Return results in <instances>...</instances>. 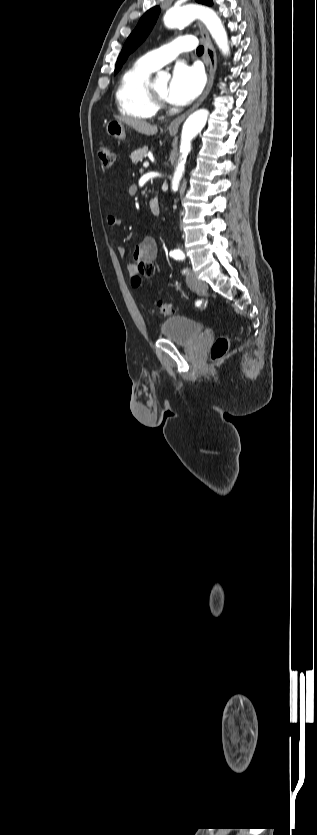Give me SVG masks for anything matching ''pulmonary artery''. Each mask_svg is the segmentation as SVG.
<instances>
[{
	"instance_id": "e3ab8cb5",
	"label": "pulmonary artery",
	"mask_w": 317,
	"mask_h": 835,
	"mask_svg": "<svg viewBox=\"0 0 317 835\" xmlns=\"http://www.w3.org/2000/svg\"><path fill=\"white\" fill-rule=\"evenodd\" d=\"M196 45L197 41L194 36H179L173 41L147 52L141 59L152 68L158 69L173 60L180 53L195 49Z\"/></svg>"
}]
</instances>
